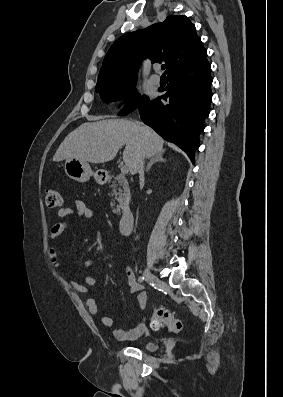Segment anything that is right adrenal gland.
Here are the masks:
<instances>
[{"instance_id": "obj_1", "label": "right adrenal gland", "mask_w": 283, "mask_h": 397, "mask_svg": "<svg viewBox=\"0 0 283 397\" xmlns=\"http://www.w3.org/2000/svg\"><path fill=\"white\" fill-rule=\"evenodd\" d=\"M163 153L164 152H160V153L156 154L154 157H152L150 159V162L148 163L147 168H146V172H149L151 166L154 163H156V162H165L166 161V159L163 158Z\"/></svg>"}]
</instances>
